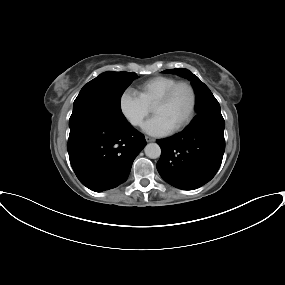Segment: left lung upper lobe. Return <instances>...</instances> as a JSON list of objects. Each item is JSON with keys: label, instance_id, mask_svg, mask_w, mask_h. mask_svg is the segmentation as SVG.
Returning a JSON list of instances; mask_svg holds the SVG:
<instances>
[{"label": "left lung upper lobe", "instance_id": "5c2ea615", "mask_svg": "<svg viewBox=\"0 0 285 285\" xmlns=\"http://www.w3.org/2000/svg\"><path fill=\"white\" fill-rule=\"evenodd\" d=\"M164 72L176 73L182 77L191 80L192 86L197 95L195 106L197 116L193 119L191 123H194L195 121L203 117L222 116L218 101L213 96L209 88L203 82H201V80L196 75L191 73L189 70L183 68L165 70Z\"/></svg>", "mask_w": 285, "mask_h": 285}]
</instances>
